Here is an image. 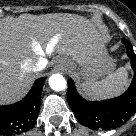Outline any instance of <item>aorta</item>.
I'll use <instances>...</instances> for the list:
<instances>
[{
	"mask_svg": "<svg viewBox=\"0 0 136 136\" xmlns=\"http://www.w3.org/2000/svg\"><path fill=\"white\" fill-rule=\"evenodd\" d=\"M49 85L54 91H62L67 87V82L61 74H53L49 78Z\"/></svg>",
	"mask_w": 136,
	"mask_h": 136,
	"instance_id": "762f6f07",
	"label": "aorta"
}]
</instances>
